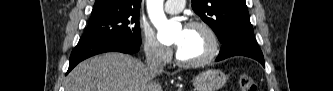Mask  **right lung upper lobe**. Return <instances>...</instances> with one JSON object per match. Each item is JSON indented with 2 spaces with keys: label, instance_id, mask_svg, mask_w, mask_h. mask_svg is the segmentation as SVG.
<instances>
[{
  "label": "right lung upper lobe",
  "instance_id": "1",
  "mask_svg": "<svg viewBox=\"0 0 333 91\" xmlns=\"http://www.w3.org/2000/svg\"><path fill=\"white\" fill-rule=\"evenodd\" d=\"M141 0H96L91 18L102 17L126 11H139Z\"/></svg>",
  "mask_w": 333,
  "mask_h": 91
}]
</instances>
